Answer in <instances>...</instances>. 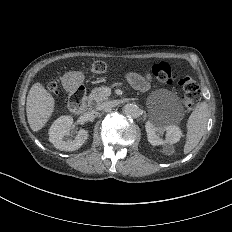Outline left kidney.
Wrapping results in <instances>:
<instances>
[{
	"instance_id": "obj_1",
	"label": "left kidney",
	"mask_w": 232,
	"mask_h": 232,
	"mask_svg": "<svg viewBox=\"0 0 232 232\" xmlns=\"http://www.w3.org/2000/svg\"><path fill=\"white\" fill-rule=\"evenodd\" d=\"M145 128L148 141L154 146L176 143L181 135L177 126L167 125L164 122L148 121ZM163 134L165 139L162 138Z\"/></svg>"
}]
</instances>
